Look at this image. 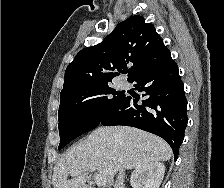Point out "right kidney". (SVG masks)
Listing matches in <instances>:
<instances>
[{"label": "right kidney", "mask_w": 224, "mask_h": 188, "mask_svg": "<svg viewBox=\"0 0 224 188\" xmlns=\"http://www.w3.org/2000/svg\"><path fill=\"white\" fill-rule=\"evenodd\" d=\"M165 174L163 163L155 161L134 170L130 178L133 188H159Z\"/></svg>", "instance_id": "right-kidney-1"}]
</instances>
